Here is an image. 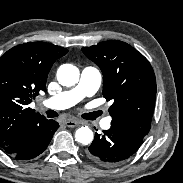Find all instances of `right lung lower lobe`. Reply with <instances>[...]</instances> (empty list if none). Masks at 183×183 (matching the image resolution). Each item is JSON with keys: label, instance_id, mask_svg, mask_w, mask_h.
I'll use <instances>...</instances> for the list:
<instances>
[{"label": "right lung lower lobe", "instance_id": "obj_1", "mask_svg": "<svg viewBox=\"0 0 183 183\" xmlns=\"http://www.w3.org/2000/svg\"><path fill=\"white\" fill-rule=\"evenodd\" d=\"M59 124L55 120L45 119L26 132L22 149L10 156L17 160H28L40 155L50 143Z\"/></svg>", "mask_w": 183, "mask_h": 183}]
</instances>
